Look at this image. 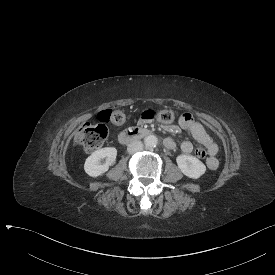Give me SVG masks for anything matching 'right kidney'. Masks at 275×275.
<instances>
[{
  "label": "right kidney",
  "instance_id": "ca27d5eb",
  "mask_svg": "<svg viewBox=\"0 0 275 275\" xmlns=\"http://www.w3.org/2000/svg\"><path fill=\"white\" fill-rule=\"evenodd\" d=\"M107 158L105 164H99L102 158ZM117 157V149L115 147L102 148L90 155L84 163V171L90 177H99L109 170V166L114 164Z\"/></svg>",
  "mask_w": 275,
  "mask_h": 275
}]
</instances>
